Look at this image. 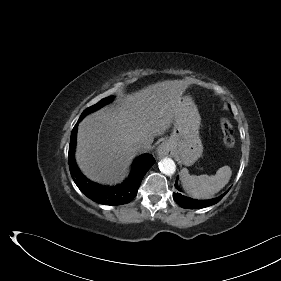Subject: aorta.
Segmentation results:
<instances>
[{
  "label": "aorta",
  "mask_w": 281,
  "mask_h": 281,
  "mask_svg": "<svg viewBox=\"0 0 281 281\" xmlns=\"http://www.w3.org/2000/svg\"><path fill=\"white\" fill-rule=\"evenodd\" d=\"M159 169L165 175H172L176 171V165L171 158H164L159 163Z\"/></svg>",
  "instance_id": "1"
}]
</instances>
